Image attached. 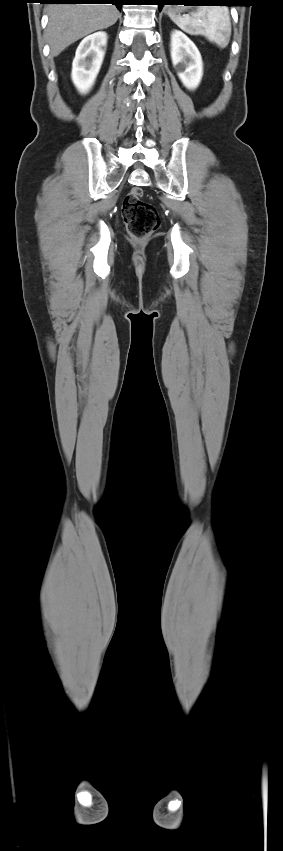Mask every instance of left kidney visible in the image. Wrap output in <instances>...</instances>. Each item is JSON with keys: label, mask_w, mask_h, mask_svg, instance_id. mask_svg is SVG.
<instances>
[{"label": "left kidney", "mask_w": 283, "mask_h": 851, "mask_svg": "<svg viewBox=\"0 0 283 851\" xmlns=\"http://www.w3.org/2000/svg\"><path fill=\"white\" fill-rule=\"evenodd\" d=\"M171 59L183 85L190 90L197 88L203 75L201 54L195 44L178 30L171 34Z\"/></svg>", "instance_id": "obj_1"}]
</instances>
